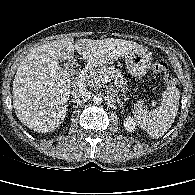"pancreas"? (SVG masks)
<instances>
[{
  "instance_id": "obj_1",
  "label": "pancreas",
  "mask_w": 195,
  "mask_h": 195,
  "mask_svg": "<svg viewBox=\"0 0 195 195\" xmlns=\"http://www.w3.org/2000/svg\"><path fill=\"white\" fill-rule=\"evenodd\" d=\"M105 76L111 77L114 80L115 84L118 86V88L122 89L123 93H125L126 81L122 77L120 71L112 66H104L98 68L97 70L90 71L82 77V81L90 88L100 89L102 87L103 79ZM122 96H124V100H126L125 94H122ZM142 106L143 103L138 102L134 106V109L140 110Z\"/></svg>"
}]
</instances>
